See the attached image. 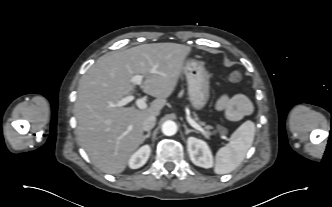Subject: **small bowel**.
Masks as SVG:
<instances>
[{
  "label": "small bowel",
  "mask_w": 332,
  "mask_h": 207,
  "mask_svg": "<svg viewBox=\"0 0 332 207\" xmlns=\"http://www.w3.org/2000/svg\"><path fill=\"white\" fill-rule=\"evenodd\" d=\"M217 108L222 110L226 118L231 121H237L252 111L251 102L244 95L232 97L224 95L219 99Z\"/></svg>",
  "instance_id": "1"
}]
</instances>
